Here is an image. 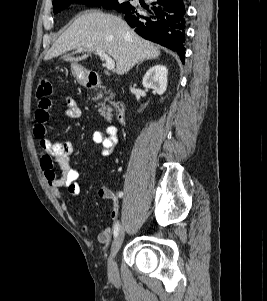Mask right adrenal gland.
I'll list each match as a JSON object with an SVG mask.
<instances>
[{"label":"right adrenal gland","mask_w":267,"mask_h":301,"mask_svg":"<svg viewBox=\"0 0 267 301\" xmlns=\"http://www.w3.org/2000/svg\"><path fill=\"white\" fill-rule=\"evenodd\" d=\"M141 63H143V61H141V62L138 63L137 68H138V66H139Z\"/></svg>","instance_id":"2a0ac1e0"}]
</instances>
